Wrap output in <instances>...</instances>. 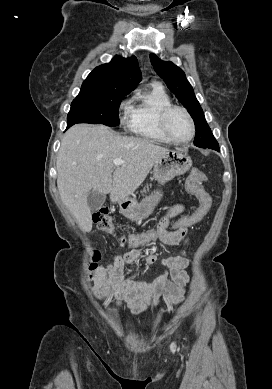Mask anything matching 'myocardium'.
<instances>
[{
    "instance_id": "myocardium-1",
    "label": "myocardium",
    "mask_w": 272,
    "mask_h": 389,
    "mask_svg": "<svg viewBox=\"0 0 272 389\" xmlns=\"http://www.w3.org/2000/svg\"><path fill=\"white\" fill-rule=\"evenodd\" d=\"M175 110H179L181 112H183L185 114V116L187 117L189 123H190V126H191V135L189 138L185 139V140H179L177 138H175L170 130H169V127H168V119H169V116L170 114L175 111ZM159 125H160V129L161 131L164 133V135L173 143H176V144H186V143H189L194 137H195V134H196V127H195V122H194V119L192 117V115L190 114V112L183 106H180V105H175V104H170L168 106H166L160 113L159 115Z\"/></svg>"
}]
</instances>
